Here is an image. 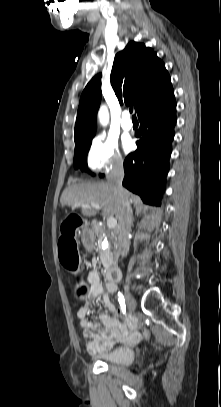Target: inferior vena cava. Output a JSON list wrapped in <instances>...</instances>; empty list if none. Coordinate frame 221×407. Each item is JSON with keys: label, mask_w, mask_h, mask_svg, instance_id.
<instances>
[{"label": "inferior vena cava", "mask_w": 221, "mask_h": 407, "mask_svg": "<svg viewBox=\"0 0 221 407\" xmlns=\"http://www.w3.org/2000/svg\"><path fill=\"white\" fill-rule=\"evenodd\" d=\"M124 178V168L122 161H116L111 169L107 180L113 186L114 194L120 205L119 209V232H118V252L122 257L128 254L130 247L129 234L132 227L131 206L127 196V191L122 186Z\"/></svg>", "instance_id": "inferior-vena-cava-1"}]
</instances>
